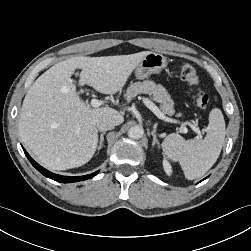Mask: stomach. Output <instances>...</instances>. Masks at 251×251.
I'll return each instance as SVG.
<instances>
[{
  "mask_svg": "<svg viewBox=\"0 0 251 251\" xmlns=\"http://www.w3.org/2000/svg\"><path fill=\"white\" fill-rule=\"evenodd\" d=\"M167 66V58L162 54L149 52L134 69L138 79H145L151 74H159Z\"/></svg>",
  "mask_w": 251,
  "mask_h": 251,
  "instance_id": "0dacf381",
  "label": "stomach"
}]
</instances>
